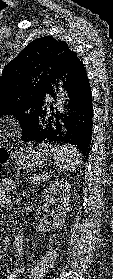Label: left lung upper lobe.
Returning a JSON list of instances; mask_svg holds the SVG:
<instances>
[{
  "instance_id": "obj_1",
  "label": "left lung upper lobe",
  "mask_w": 113,
  "mask_h": 279,
  "mask_svg": "<svg viewBox=\"0 0 113 279\" xmlns=\"http://www.w3.org/2000/svg\"><path fill=\"white\" fill-rule=\"evenodd\" d=\"M73 53L65 41L52 36L37 38L5 65L0 77V116L14 115L22 134L33 126L35 109Z\"/></svg>"
}]
</instances>
